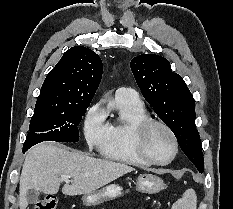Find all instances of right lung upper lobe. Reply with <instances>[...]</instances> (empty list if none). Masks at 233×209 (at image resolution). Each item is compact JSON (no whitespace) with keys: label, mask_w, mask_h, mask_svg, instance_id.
I'll return each mask as SVG.
<instances>
[{"label":"right lung upper lobe","mask_w":233,"mask_h":209,"mask_svg":"<svg viewBox=\"0 0 233 209\" xmlns=\"http://www.w3.org/2000/svg\"><path fill=\"white\" fill-rule=\"evenodd\" d=\"M102 72L101 59L95 52L83 46L70 48L47 75L35 110L64 111L90 104Z\"/></svg>","instance_id":"right-lung-upper-lobe-1"}]
</instances>
